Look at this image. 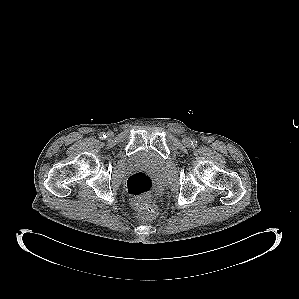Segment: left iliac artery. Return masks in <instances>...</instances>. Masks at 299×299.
Returning <instances> with one entry per match:
<instances>
[{
	"mask_svg": "<svg viewBox=\"0 0 299 299\" xmlns=\"http://www.w3.org/2000/svg\"><path fill=\"white\" fill-rule=\"evenodd\" d=\"M191 145H192L193 147L197 146V141H196L195 139H193V140L191 141Z\"/></svg>",
	"mask_w": 299,
	"mask_h": 299,
	"instance_id": "1",
	"label": "left iliac artery"
}]
</instances>
